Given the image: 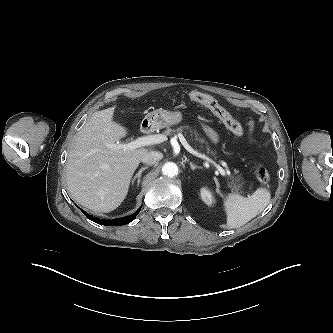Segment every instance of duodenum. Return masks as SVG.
<instances>
[{
    "mask_svg": "<svg viewBox=\"0 0 333 333\" xmlns=\"http://www.w3.org/2000/svg\"><path fill=\"white\" fill-rule=\"evenodd\" d=\"M140 130H141L142 132H146V131L148 130V125H146V124L142 125V126L140 127Z\"/></svg>",
    "mask_w": 333,
    "mask_h": 333,
    "instance_id": "duodenum-1",
    "label": "duodenum"
}]
</instances>
